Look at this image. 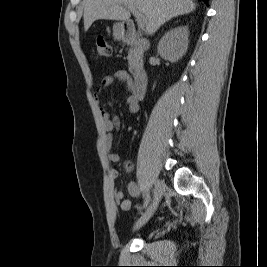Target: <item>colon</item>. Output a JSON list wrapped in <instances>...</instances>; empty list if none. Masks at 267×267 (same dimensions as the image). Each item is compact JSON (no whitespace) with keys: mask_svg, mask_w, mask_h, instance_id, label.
<instances>
[{"mask_svg":"<svg viewBox=\"0 0 267 267\" xmlns=\"http://www.w3.org/2000/svg\"><path fill=\"white\" fill-rule=\"evenodd\" d=\"M96 54L99 57H108L112 53V48L106 39L99 37L95 42Z\"/></svg>","mask_w":267,"mask_h":267,"instance_id":"1","label":"colon"}]
</instances>
